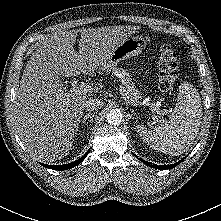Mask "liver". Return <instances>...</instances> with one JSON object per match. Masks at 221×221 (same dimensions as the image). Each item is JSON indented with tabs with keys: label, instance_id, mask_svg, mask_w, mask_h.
Here are the masks:
<instances>
[{
	"label": "liver",
	"instance_id": "1",
	"mask_svg": "<svg viewBox=\"0 0 221 221\" xmlns=\"http://www.w3.org/2000/svg\"><path fill=\"white\" fill-rule=\"evenodd\" d=\"M138 26L87 28L59 32L34 51L16 91L14 125L30 154L39 161L68 155L89 95L67 92L60 77L93 75L111 52ZM97 89H99L97 87Z\"/></svg>",
	"mask_w": 221,
	"mask_h": 221
}]
</instances>
